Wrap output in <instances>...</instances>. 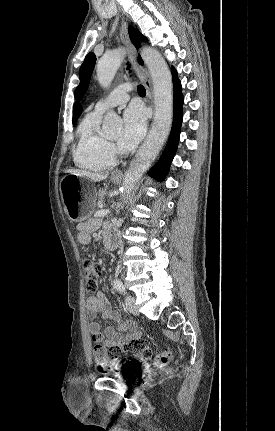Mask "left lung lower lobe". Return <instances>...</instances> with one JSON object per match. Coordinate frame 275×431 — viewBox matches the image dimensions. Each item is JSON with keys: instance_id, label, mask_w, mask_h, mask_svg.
<instances>
[{"instance_id": "0a47b994", "label": "left lung lower lobe", "mask_w": 275, "mask_h": 431, "mask_svg": "<svg viewBox=\"0 0 275 431\" xmlns=\"http://www.w3.org/2000/svg\"><path fill=\"white\" fill-rule=\"evenodd\" d=\"M172 75L174 85V119L172 130L163 155L161 156L158 163L148 172L151 177L157 179L158 181L163 180L166 171H168L169 165L175 155L182 123L183 95L181 93V83L174 68H172Z\"/></svg>"}]
</instances>
